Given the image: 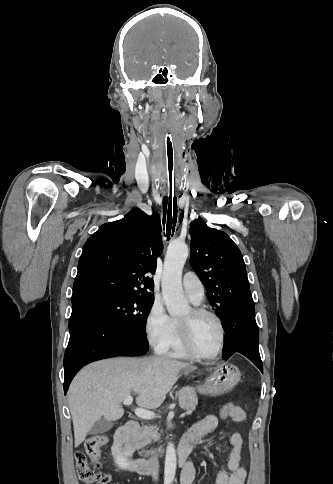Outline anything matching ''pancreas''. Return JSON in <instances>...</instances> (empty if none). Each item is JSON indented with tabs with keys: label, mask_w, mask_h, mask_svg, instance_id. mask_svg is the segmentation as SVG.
<instances>
[{
	"label": "pancreas",
	"mask_w": 333,
	"mask_h": 484,
	"mask_svg": "<svg viewBox=\"0 0 333 484\" xmlns=\"http://www.w3.org/2000/svg\"><path fill=\"white\" fill-rule=\"evenodd\" d=\"M180 407L186 410V414L190 415L192 411L196 409L198 404V398L195 390L190 387H183L177 392ZM159 428L157 426H143L140 428L133 437V440L137 445L145 446L152 440L157 441L160 438L158 433Z\"/></svg>",
	"instance_id": "cf45deb5"
}]
</instances>
